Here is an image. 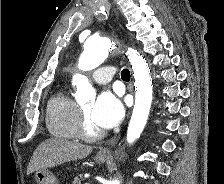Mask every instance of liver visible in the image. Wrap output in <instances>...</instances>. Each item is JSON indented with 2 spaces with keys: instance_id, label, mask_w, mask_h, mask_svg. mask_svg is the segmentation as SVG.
<instances>
[{
  "instance_id": "liver-1",
  "label": "liver",
  "mask_w": 224,
  "mask_h": 184,
  "mask_svg": "<svg viewBox=\"0 0 224 184\" xmlns=\"http://www.w3.org/2000/svg\"><path fill=\"white\" fill-rule=\"evenodd\" d=\"M92 147L68 140L50 138L34 151L27 167V175L43 168H51L68 161L87 157Z\"/></svg>"
}]
</instances>
